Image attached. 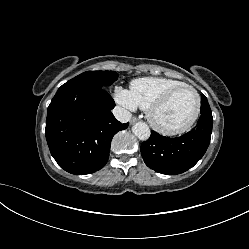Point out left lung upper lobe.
Wrapping results in <instances>:
<instances>
[{
  "mask_svg": "<svg viewBox=\"0 0 249 249\" xmlns=\"http://www.w3.org/2000/svg\"><path fill=\"white\" fill-rule=\"evenodd\" d=\"M211 113L210 106L208 104L207 98L202 95L201 99V114Z\"/></svg>",
  "mask_w": 249,
  "mask_h": 249,
  "instance_id": "5c2ea615",
  "label": "left lung upper lobe"
}]
</instances>
